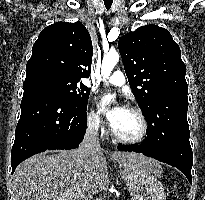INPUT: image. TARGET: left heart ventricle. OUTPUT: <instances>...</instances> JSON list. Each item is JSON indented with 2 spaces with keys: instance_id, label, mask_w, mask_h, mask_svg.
<instances>
[{
  "instance_id": "1",
  "label": "left heart ventricle",
  "mask_w": 205,
  "mask_h": 200,
  "mask_svg": "<svg viewBox=\"0 0 205 200\" xmlns=\"http://www.w3.org/2000/svg\"><path fill=\"white\" fill-rule=\"evenodd\" d=\"M112 128L123 137H135L140 132L141 123L134 112L125 109Z\"/></svg>"
}]
</instances>
